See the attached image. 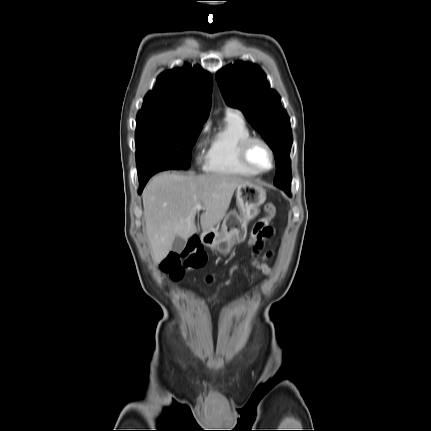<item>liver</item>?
<instances>
[{"instance_id": "obj_1", "label": "liver", "mask_w": 431, "mask_h": 431, "mask_svg": "<svg viewBox=\"0 0 431 431\" xmlns=\"http://www.w3.org/2000/svg\"><path fill=\"white\" fill-rule=\"evenodd\" d=\"M249 181L226 174L182 175L163 172L144 188L142 198L146 233L154 262L159 263L179 236L187 240L197 231L195 210L201 203L200 225L214 230L230 206L234 191Z\"/></svg>"}]
</instances>
